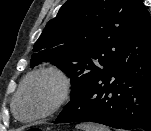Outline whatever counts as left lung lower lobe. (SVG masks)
Listing matches in <instances>:
<instances>
[{
  "mask_svg": "<svg viewBox=\"0 0 151 131\" xmlns=\"http://www.w3.org/2000/svg\"><path fill=\"white\" fill-rule=\"evenodd\" d=\"M85 121L151 131V17L143 4L123 57L70 99L54 123Z\"/></svg>",
  "mask_w": 151,
  "mask_h": 131,
  "instance_id": "1",
  "label": "left lung lower lobe"
}]
</instances>
